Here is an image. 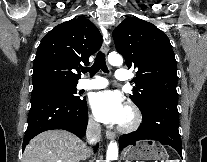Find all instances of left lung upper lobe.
Masks as SVG:
<instances>
[{
	"label": "left lung upper lobe",
	"instance_id": "5c2ea615",
	"mask_svg": "<svg viewBox=\"0 0 207 162\" xmlns=\"http://www.w3.org/2000/svg\"><path fill=\"white\" fill-rule=\"evenodd\" d=\"M117 51L137 69L130 98L143 110L154 98L178 99L177 65L168 37L155 25L129 17L113 31Z\"/></svg>",
	"mask_w": 207,
	"mask_h": 162
}]
</instances>
